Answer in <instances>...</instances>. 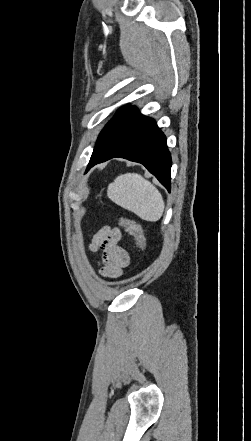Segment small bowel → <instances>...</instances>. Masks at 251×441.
<instances>
[{"label": "small bowel", "mask_w": 251, "mask_h": 441, "mask_svg": "<svg viewBox=\"0 0 251 441\" xmlns=\"http://www.w3.org/2000/svg\"><path fill=\"white\" fill-rule=\"evenodd\" d=\"M121 238L118 228L104 227L92 239L91 250H102L100 272L104 277L118 278L129 265V254L119 245Z\"/></svg>", "instance_id": "obj_1"}]
</instances>
